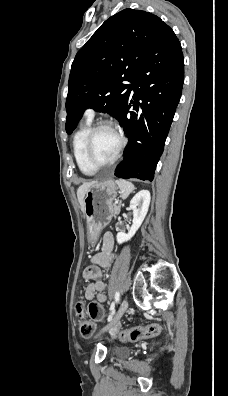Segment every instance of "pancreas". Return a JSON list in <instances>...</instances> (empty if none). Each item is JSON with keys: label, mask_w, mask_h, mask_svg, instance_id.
<instances>
[{"label": "pancreas", "mask_w": 228, "mask_h": 396, "mask_svg": "<svg viewBox=\"0 0 228 396\" xmlns=\"http://www.w3.org/2000/svg\"><path fill=\"white\" fill-rule=\"evenodd\" d=\"M119 211H120V205L119 204H114L113 205V216H112V219L113 220H116L117 219V216L115 215V214H118L119 213Z\"/></svg>", "instance_id": "obj_1"}]
</instances>
